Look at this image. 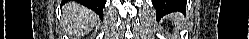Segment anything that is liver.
<instances>
[{"label":"liver","instance_id":"1","mask_svg":"<svg viewBox=\"0 0 249 39\" xmlns=\"http://www.w3.org/2000/svg\"><path fill=\"white\" fill-rule=\"evenodd\" d=\"M74 13L76 14L77 18H78V22L80 24V26H92V24L95 22L96 20V15L94 12H92L91 10L79 5V4H75L74 6Z\"/></svg>","mask_w":249,"mask_h":39}]
</instances>
